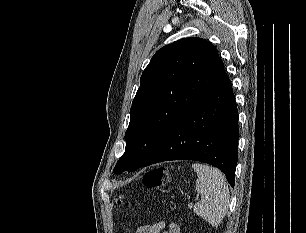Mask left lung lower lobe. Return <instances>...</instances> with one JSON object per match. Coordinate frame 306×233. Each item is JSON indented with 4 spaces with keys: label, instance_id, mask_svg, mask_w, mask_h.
Segmentation results:
<instances>
[{
    "label": "left lung lower lobe",
    "instance_id": "left-lung-lower-lobe-1",
    "mask_svg": "<svg viewBox=\"0 0 306 233\" xmlns=\"http://www.w3.org/2000/svg\"><path fill=\"white\" fill-rule=\"evenodd\" d=\"M238 139V111L223 69L141 167L168 160H197L219 168L233 187Z\"/></svg>",
    "mask_w": 306,
    "mask_h": 233
}]
</instances>
